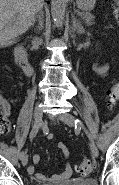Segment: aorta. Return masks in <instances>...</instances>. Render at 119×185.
Here are the masks:
<instances>
[{
	"mask_svg": "<svg viewBox=\"0 0 119 185\" xmlns=\"http://www.w3.org/2000/svg\"><path fill=\"white\" fill-rule=\"evenodd\" d=\"M68 0H51V15L56 25H62Z\"/></svg>",
	"mask_w": 119,
	"mask_h": 185,
	"instance_id": "1",
	"label": "aorta"
}]
</instances>
